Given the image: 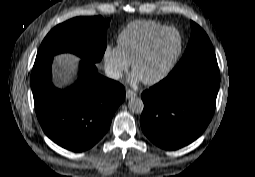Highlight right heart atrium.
Masks as SVG:
<instances>
[{
    "instance_id": "d8ad5b80",
    "label": "right heart atrium",
    "mask_w": 255,
    "mask_h": 177,
    "mask_svg": "<svg viewBox=\"0 0 255 177\" xmlns=\"http://www.w3.org/2000/svg\"><path fill=\"white\" fill-rule=\"evenodd\" d=\"M103 59L110 76L114 79L121 78L130 68V63L122 53L119 45L107 44L104 49Z\"/></svg>"
}]
</instances>
